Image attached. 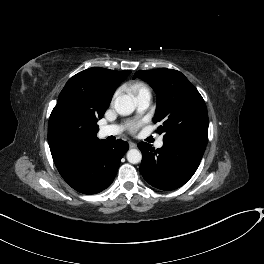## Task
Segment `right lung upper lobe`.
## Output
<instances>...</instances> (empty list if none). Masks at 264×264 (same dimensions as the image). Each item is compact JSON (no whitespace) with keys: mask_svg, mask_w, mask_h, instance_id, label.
<instances>
[{"mask_svg":"<svg viewBox=\"0 0 264 264\" xmlns=\"http://www.w3.org/2000/svg\"><path fill=\"white\" fill-rule=\"evenodd\" d=\"M130 73V70L96 67L81 71L68 80L48 124V143L56 167L100 141L98 125L93 124V119L102 118L114 91ZM70 111L83 112L85 117L70 122L67 120Z\"/></svg>","mask_w":264,"mask_h":264,"instance_id":"right-lung-upper-lobe-1","label":"right lung upper lobe"}]
</instances>
